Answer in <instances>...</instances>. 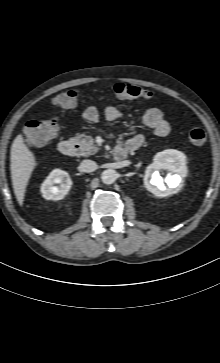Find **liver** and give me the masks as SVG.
<instances>
[{
	"label": "liver",
	"mask_w": 220,
	"mask_h": 363,
	"mask_svg": "<svg viewBox=\"0 0 220 363\" xmlns=\"http://www.w3.org/2000/svg\"><path fill=\"white\" fill-rule=\"evenodd\" d=\"M10 162L14 194L22 206L29 179L37 165L34 153L25 144L22 134L17 135L12 143Z\"/></svg>",
	"instance_id": "6515ba94"
}]
</instances>
